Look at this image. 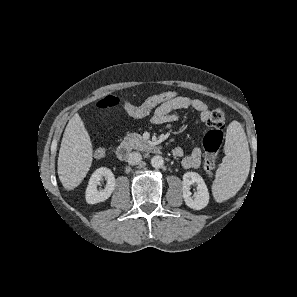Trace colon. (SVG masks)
Returning <instances> with one entry per match:
<instances>
[{"label": "colon", "instance_id": "colon-1", "mask_svg": "<svg viewBox=\"0 0 297 297\" xmlns=\"http://www.w3.org/2000/svg\"><path fill=\"white\" fill-rule=\"evenodd\" d=\"M176 97L177 92L175 91H167L156 94L147 98L142 103V108L143 110H149L161 103L172 100ZM125 103L126 100H124L122 97L111 95L99 101L97 107L99 110L106 111L115 109L120 105L124 106ZM207 124L211 128V131H209L203 139V147L205 151L204 169L207 175L211 177L213 175L216 166V159L223 141V134L221 132V129L225 124L224 109L221 107L213 109L210 112ZM105 155L106 150L104 148H97L94 152V156L96 158H103Z\"/></svg>", "mask_w": 297, "mask_h": 297}]
</instances>
